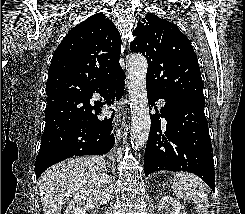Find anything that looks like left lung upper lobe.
I'll list each match as a JSON object with an SVG mask.
<instances>
[{
  "label": "left lung upper lobe",
  "mask_w": 245,
  "mask_h": 214,
  "mask_svg": "<svg viewBox=\"0 0 245 214\" xmlns=\"http://www.w3.org/2000/svg\"><path fill=\"white\" fill-rule=\"evenodd\" d=\"M133 34L131 51L141 53L148 62L147 88L170 100L205 101L197 56L175 24L148 13Z\"/></svg>",
  "instance_id": "obj_1"
}]
</instances>
